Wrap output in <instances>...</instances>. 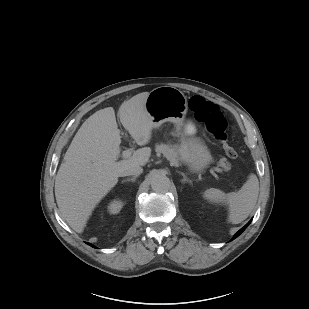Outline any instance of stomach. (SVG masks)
I'll return each instance as SVG.
<instances>
[{"instance_id": "obj_1", "label": "stomach", "mask_w": 309, "mask_h": 309, "mask_svg": "<svg viewBox=\"0 0 309 309\" xmlns=\"http://www.w3.org/2000/svg\"><path fill=\"white\" fill-rule=\"evenodd\" d=\"M145 110L153 128L160 127L164 122H172L181 128L187 113V98L175 87H157L149 92ZM180 142V155L191 170L201 171L208 166L211 155L200 139L181 132Z\"/></svg>"}]
</instances>
